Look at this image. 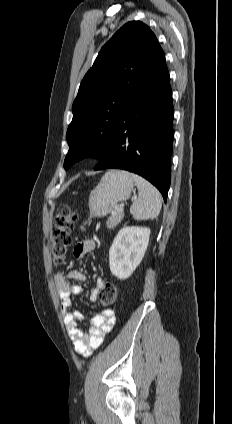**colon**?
Masks as SVG:
<instances>
[{"label": "colon", "instance_id": "colon-1", "mask_svg": "<svg viewBox=\"0 0 232 424\" xmlns=\"http://www.w3.org/2000/svg\"><path fill=\"white\" fill-rule=\"evenodd\" d=\"M76 220L77 215L69 205L59 207L55 223L50 231L51 256L55 265L63 263L66 258ZM117 296V287L112 282H105L98 294L99 301L103 306L113 305Z\"/></svg>", "mask_w": 232, "mask_h": 424}]
</instances>
